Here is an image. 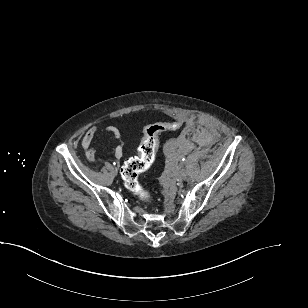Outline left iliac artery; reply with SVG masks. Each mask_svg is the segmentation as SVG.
<instances>
[{"mask_svg": "<svg viewBox=\"0 0 308 308\" xmlns=\"http://www.w3.org/2000/svg\"><path fill=\"white\" fill-rule=\"evenodd\" d=\"M182 161L184 162V161H185V158H183Z\"/></svg>", "mask_w": 308, "mask_h": 308, "instance_id": "1", "label": "left iliac artery"}]
</instances>
